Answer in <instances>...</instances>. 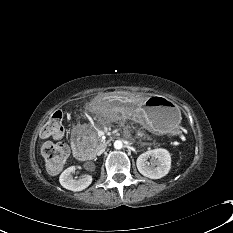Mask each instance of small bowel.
<instances>
[{
	"mask_svg": "<svg viewBox=\"0 0 233 233\" xmlns=\"http://www.w3.org/2000/svg\"><path fill=\"white\" fill-rule=\"evenodd\" d=\"M62 135H63V133L61 132L60 134L53 136V138L58 139V138L62 137Z\"/></svg>",
	"mask_w": 233,
	"mask_h": 233,
	"instance_id": "1",
	"label": "small bowel"
}]
</instances>
